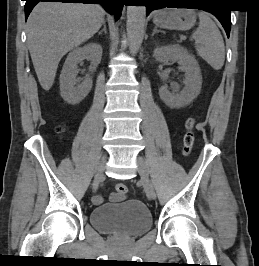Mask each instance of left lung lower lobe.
Segmentation results:
<instances>
[{
  "label": "left lung lower lobe",
  "mask_w": 259,
  "mask_h": 266,
  "mask_svg": "<svg viewBox=\"0 0 259 266\" xmlns=\"http://www.w3.org/2000/svg\"><path fill=\"white\" fill-rule=\"evenodd\" d=\"M141 3H143L146 6V15H148L152 10L159 9L162 7H180L181 5H205L209 4L211 1H205V0H196V2H192L190 0H141ZM205 11H208L212 14H214L217 19L220 21L222 26L224 27L227 36L230 35V29H231V11L229 9H222V8H212V7H203L200 8Z\"/></svg>",
  "instance_id": "0a47b994"
}]
</instances>
